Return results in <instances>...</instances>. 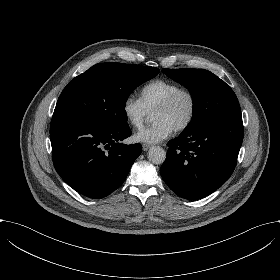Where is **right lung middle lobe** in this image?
Wrapping results in <instances>:
<instances>
[{"mask_svg":"<svg viewBox=\"0 0 280 280\" xmlns=\"http://www.w3.org/2000/svg\"><path fill=\"white\" fill-rule=\"evenodd\" d=\"M159 73L156 67L100 63L75 77L58 98L53 117H73L99 126L127 125L129 95Z\"/></svg>","mask_w":280,"mask_h":280,"instance_id":"obj_1","label":"right lung middle lobe"}]
</instances>
